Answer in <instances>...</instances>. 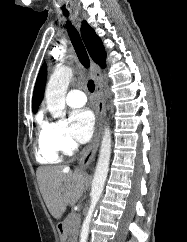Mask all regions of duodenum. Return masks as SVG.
Masks as SVG:
<instances>
[{
    "instance_id": "410a0bca",
    "label": "duodenum",
    "mask_w": 187,
    "mask_h": 242,
    "mask_svg": "<svg viewBox=\"0 0 187 242\" xmlns=\"http://www.w3.org/2000/svg\"><path fill=\"white\" fill-rule=\"evenodd\" d=\"M58 231H59L60 234H62V232H63V227H62L61 224L58 226Z\"/></svg>"
}]
</instances>
